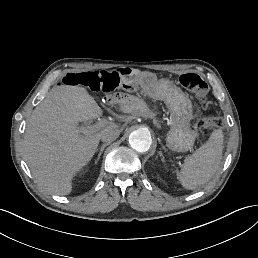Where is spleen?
Segmentation results:
<instances>
[{"label": "spleen", "mask_w": 258, "mask_h": 258, "mask_svg": "<svg viewBox=\"0 0 258 258\" xmlns=\"http://www.w3.org/2000/svg\"><path fill=\"white\" fill-rule=\"evenodd\" d=\"M223 141V131L215 129L205 143L186 157L182 169L177 173L185 188L193 190L212 179L222 160Z\"/></svg>", "instance_id": "obj_1"}]
</instances>
